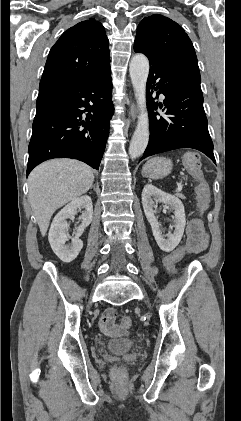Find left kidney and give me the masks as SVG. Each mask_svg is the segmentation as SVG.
<instances>
[{"label": "left kidney", "mask_w": 241, "mask_h": 421, "mask_svg": "<svg viewBox=\"0 0 241 421\" xmlns=\"http://www.w3.org/2000/svg\"><path fill=\"white\" fill-rule=\"evenodd\" d=\"M162 202L174 210L175 229L167 239L162 235L160 224L154 215L155 203ZM142 205L148 222L151 225L153 236L161 250L170 252L180 243L186 224L185 210L182 202L174 195L163 192L151 184L144 186L142 191Z\"/></svg>", "instance_id": "1"}]
</instances>
